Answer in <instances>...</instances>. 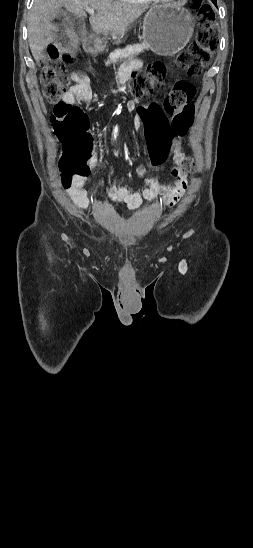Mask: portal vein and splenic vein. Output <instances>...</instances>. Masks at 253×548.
Instances as JSON below:
<instances>
[{"mask_svg": "<svg viewBox=\"0 0 253 548\" xmlns=\"http://www.w3.org/2000/svg\"><path fill=\"white\" fill-rule=\"evenodd\" d=\"M87 12L91 15H94L95 14V11L93 9H87Z\"/></svg>", "mask_w": 253, "mask_h": 548, "instance_id": "portal-vein-and-splenic-vein-1", "label": "portal vein and splenic vein"}]
</instances>
